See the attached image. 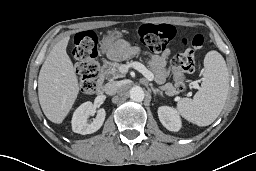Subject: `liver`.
<instances>
[{"label": "liver", "mask_w": 256, "mask_h": 171, "mask_svg": "<svg viewBox=\"0 0 256 171\" xmlns=\"http://www.w3.org/2000/svg\"><path fill=\"white\" fill-rule=\"evenodd\" d=\"M60 40L44 61L38 77V96L45 116L53 123L63 122L79 94L78 79L66 47Z\"/></svg>", "instance_id": "obj_1"}]
</instances>
